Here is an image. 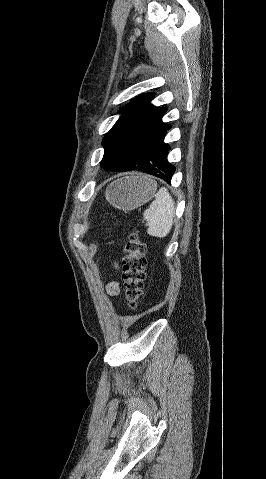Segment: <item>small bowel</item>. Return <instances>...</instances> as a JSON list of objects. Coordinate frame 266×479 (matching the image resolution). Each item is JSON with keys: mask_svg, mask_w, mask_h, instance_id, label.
I'll list each match as a JSON object with an SVG mask.
<instances>
[{"mask_svg": "<svg viewBox=\"0 0 266 479\" xmlns=\"http://www.w3.org/2000/svg\"><path fill=\"white\" fill-rule=\"evenodd\" d=\"M106 290L111 296H117L120 293L119 284L116 281H111L107 284Z\"/></svg>", "mask_w": 266, "mask_h": 479, "instance_id": "c3829d8e", "label": "small bowel"}]
</instances>
